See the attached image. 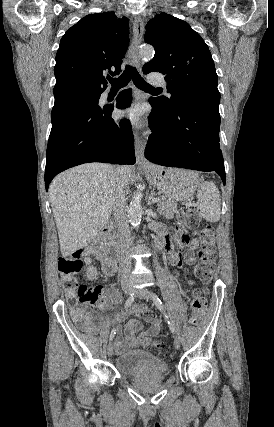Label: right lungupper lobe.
<instances>
[{"mask_svg": "<svg viewBox=\"0 0 274 427\" xmlns=\"http://www.w3.org/2000/svg\"><path fill=\"white\" fill-rule=\"evenodd\" d=\"M128 44V19L114 12L90 14L72 26L56 54L54 105L73 96L101 94L107 88L104 75L120 73Z\"/></svg>", "mask_w": 274, "mask_h": 427, "instance_id": "cb5924a9", "label": "right lung upper lobe"}]
</instances>
